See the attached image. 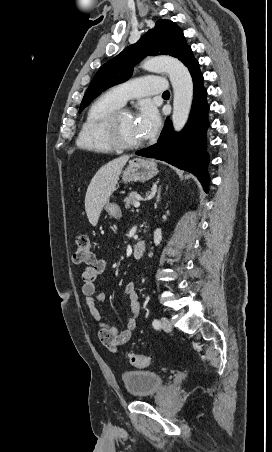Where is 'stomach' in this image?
<instances>
[{"mask_svg": "<svg viewBox=\"0 0 272 452\" xmlns=\"http://www.w3.org/2000/svg\"><path fill=\"white\" fill-rule=\"evenodd\" d=\"M157 173V164L153 160L134 158L129 161L128 166L122 172V180L124 183L132 181L145 182L153 178ZM104 209L110 216L116 219H119L122 216L120 207L115 203L107 201L104 205Z\"/></svg>", "mask_w": 272, "mask_h": 452, "instance_id": "1", "label": "stomach"}]
</instances>
